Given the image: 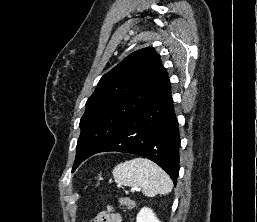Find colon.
<instances>
[{
    "label": "colon",
    "mask_w": 257,
    "mask_h": 222,
    "mask_svg": "<svg viewBox=\"0 0 257 222\" xmlns=\"http://www.w3.org/2000/svg\"><path fill=\"white\" fill-rule=\"evenodd\" d=\"M120 203H121V205H123V206H127L128 203H129V200H128L126 197H121V198H120Z\"/></svg>",
    "instance_id": "5ec220e1"
}]
</instances>
